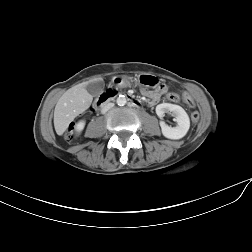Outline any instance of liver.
Masks as SVG:
<instances>
[{"instance_id": "obj_1", "label": "liver", "mask_w": 252, "mask_h": 252, "mask_svg": "<svg viewBox=\"0 0 252 252\" xmlns=\"http://www.w3.org/2000/svg\"><path fill=\"white\" fill-rule=\"evenodd\" d=\"M95 81L97 80L90 82ZM90 82H84L68 89L59 98L54 110V127L58 135H62L75 117L90 107L93 97L86 90V86Z\"/></svg>"}]
</instances>
